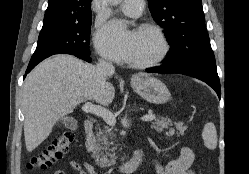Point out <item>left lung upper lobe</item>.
I'll return each instance as SVG.
<instances>
[{
	"mask_svg": "<svg viewBox=\"0 0 249 174\" xmlns=\"http://www.w3.org/2000/svg\"><path fill=\"white\" fill-rule=\"evenodd\" d=\"M148 4L171 46L165 65L179 67L196 61H215L201 0H148Z\"/></svg>",
	"mask_w": 249,
	"mask_h": 174,
	"instance_id": "1",
	"label": "left lung upper lobe"
}]
</instances>
